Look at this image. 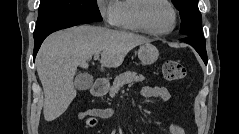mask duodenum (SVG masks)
I'll use <instances>...</instances> for the list:
<instances>
[{
  "label": "duodenum",
  "instance_id": "duodenum-1",
  "mask_svg": "<svg viewBox=\"0 0 239 134\" xmlns=\"http://www.w3.org/2000/svg\"><path fill=\"white\" fill-rule=\"evenodd\" d=\"M105 87H106V82H105L104 78L97 77L95 79L94 84L91 89L92 94L94 96H101L105 91Z\"/></svg>",
  "mask_w": 239,
  "mask_h": 134
}]
</instances>
